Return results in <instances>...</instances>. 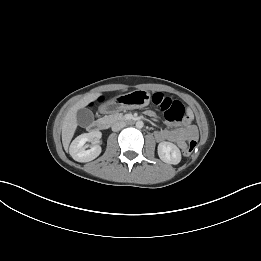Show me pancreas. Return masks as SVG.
<instances>
[{
  "mask_svg": "<svg viewBox=\"0 0 261 261\" xmlns=\"http://www.w3.org/2000/svg\"><path fill=\"white\" fill-rule=\"evenodd\" d=\"M123 116L120 114H115V115H111V116H106L104 119L105 120H109V121H114V120H118V119H122Z\"/></svg>",
  "mask_w": 261,
  "mask_h": 261,
  "instance_id": "1",
  "label": "pancreas"
}]
</instances>
